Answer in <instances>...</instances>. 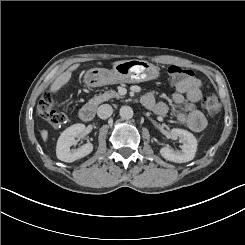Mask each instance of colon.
Returning a JSON list of instances; mask_svg holds the SVG:
<instances>
[{
  "instance_id": "5ec220e1",
  "label": "colon",
  "mask_w": 245,
  "mask_h": 245,
  "mask_svg": "<svg viewBox=\"0 0 245 245\" xmlns=\"http://www.w3.org/2000/svg\"><path fill=\"white\" fill-rule=\"evenodd\" d=\"M168 74L172 81L177 84L193 77L194 73L177 65H171L168 68ZM59 101L55 94L47 92L39 101L37 106L38 115L52 127H60L66 122L65 115L58 111ZM203 108L209 114H216L220 109L218 97L214 94L206 96L202 101Z\"/></svg>"
}]
</instances>
